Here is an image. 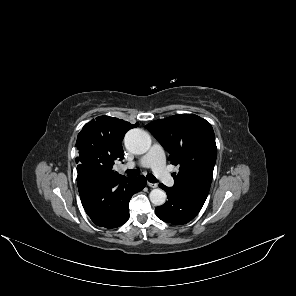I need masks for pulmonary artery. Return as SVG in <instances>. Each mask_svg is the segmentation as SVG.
I'll list each match as a JSON object with an SVG mask.
<instances>
[{"label":"pulmonary artery","mask_w":296,"mask_h":296,"mask_svg":"<svg viewBox=\"0 0 296 296\" xmlns=\"http://www.w3.org/2000/svg\"><path fill=\"white\" fill-rule=\"evenodd\" d=\"M136 166L151 168L165 185H174V179L166 169L164 151L159 144L155 143L138 162H129L123 165L122 169H132Z\"/></svg>","instance_id":"obj_1"}]
</instances>
